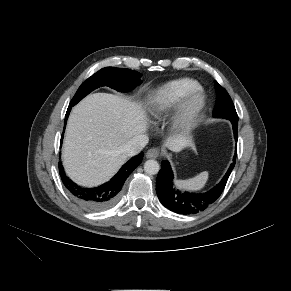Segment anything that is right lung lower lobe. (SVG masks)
<instances>
[{"label":"right lung lower lobe","mask_w":291,"mask_h":291,"mask_svg":"<svg viewBox=\"0 0 291 291\" xmlns=\"http://www.w3.org/2000/svg\"><path fill=\"white\" fill-rule=\"evenodd\" d=\"M71 106L68 107L65 124L69 116ZM63 139V133L61 137V143ZM144 154L133 157L129 160L119 172L107 183L94 188H86L75 184L65 174L61 162L58 163L60 176L63 184L74 197V199L84 208L90 211H101L112 206L120 195V191L127 177L134 171V169L141 163Z\"/></svg>","instance_id":"1"}]
</instances>
